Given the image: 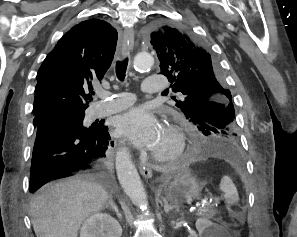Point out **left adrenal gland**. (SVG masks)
<instances>
[{
	"label": "left adrenal gland",
	"mask_w": 297,
	"mask_h": 237,
	"mask_svg": "<svg viewBox=\"0 0 297 237\" xmlns=\"http://www.w3.org/2000/svg\"><path fill=\"white\" fill-rule=\"evenodd\" d=\"M173 209H176L177 211L179 210V208H177L175 206L168 205L167 202L164 201V211L166 214H168Z\"/></svg>",
	"instance_id": "1"
}]
</instances>
